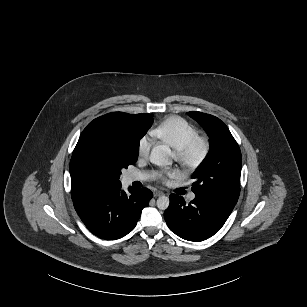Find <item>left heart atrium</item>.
I'll return each instance as SVG.
<instances>
[{
	"mask_svg": "<svg viewBox=\"0 0 307 307\" xmlns=\"http://www.w3.org/2000/svg\"><path fill=\"white\" fill-rule=\"evenodd\" d=\"M153 175L156 180L166 183L171 179L179 177L180 171L172 166H157L153 170Z\"/></svg>",
	"mask_w": 307,
	"mask_h": 307,
	"instance_id": "obj_1",
	"label": "left heart atrium"
}]
</instances>
